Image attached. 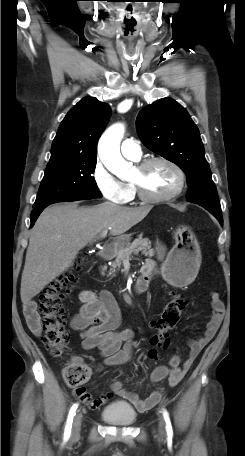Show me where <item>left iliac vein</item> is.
Returning <instances> with one entry per match:
<instances>
[{"label":"left iliac vein","instance_id":"left-iliac-vein-1","mask_svg":"<svg viewBox=\"0 0 245 456\" xmlns=\"http://www.w3.org/2000/svg\"><path fill=\"white\" fill-rule=\"evenodd\" d=\"M159 433H160V436L163 437L165 432H164V421L162 419H160V422H159Z\"/></svg>","mask_w":245,"mask_h":456}]
</instances>
